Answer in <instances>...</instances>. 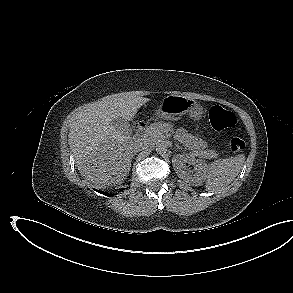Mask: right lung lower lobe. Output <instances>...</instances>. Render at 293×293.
<instances>
[{
  "label": "right lung lower lobe",
  "mask_w": 293,
  "mask_h": 293,
  "mask_svg": "<svg viewBox=\"0 0 293 293\" xmlns=\"http://www.w3.org/2000/svg\"><path fill=\"white\" fill-rule=\"evenodd\" d=\"M98 191V190H97ZM98 192H100V191H98ZM100 193H102V192H100ZM104 194V193H103ZM104 195H107V194H104Z\"/></svg>",
  "instance_id": "obj_1"
}]
</instances>
